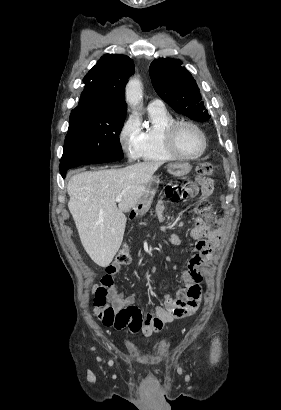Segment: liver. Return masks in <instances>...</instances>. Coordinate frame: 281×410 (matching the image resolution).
<instances>
[{
    "mask_svg": "<svg viewBox=\"0 0 281 410\" xmlns=\"http://www.w3.org/2000/svg\"><path fill=\"white\" fill-rule=\"evenodd\" d=\"M161 165L148 161L121 169L85 171L70 178L68 208L85 251L97 265L106 267L112 262L123 241L124 213L137 204ZM117 196H122L118 206Z\"/></svg>",
    "mask_w": 281,
    "mask_h": 410,
    "instance_id": "liver-1",
    "label": "liver"
}]
</instances>
